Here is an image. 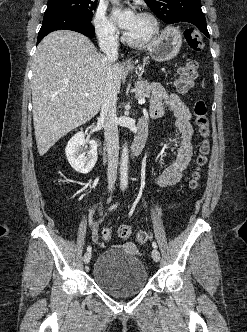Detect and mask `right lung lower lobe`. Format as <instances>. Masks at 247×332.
Segmentation results:
<instances>
[{"label": "right lung lower lobe", "mask_w": 247, "mask_h": 332, "mask_svg": "<svg viewBox=\"0 0 247 332\" xmlns=\"http://www.w3.org/2000/svg\"><path fill=\"white\" fill-rule=\"evenodd\" d=\"M55 30H72L88 37L95 35L91 19L75 14H48L44 15L37 43Z\"/></svg>", "instance_id": "1"}]
</instances>
